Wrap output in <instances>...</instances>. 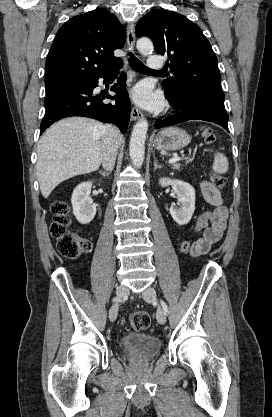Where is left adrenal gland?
Listing matches in <instances>:
<instances>
[{"mask_svg": "<svg viewBox=\"0 0 272 417\" xmlns=\"http://www.w3.org/2000/svg\"><path fill=\"white\" fill-rule=\"evenodd\" d=\"M161 168H162V166L161 165H158V162H157L156 158L154 157V171L156 169H161Z\"/></svg>", "mask_w": 272, "mask_h": 417, "instance_id": "1", "label": "left adrenal gland"}]
</instances>
